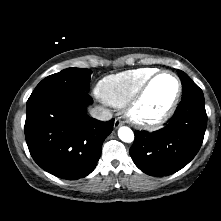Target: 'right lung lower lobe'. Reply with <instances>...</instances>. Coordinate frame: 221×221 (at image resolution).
Here are the masks:
<instances>
[{"label": "right lung lower lobe", "instance_id": "98d812e1", "mask_svg": "<svg viewBox=\"0 0 221 221\" xmlns=\"http://www.w3.org/2000/svg\"><path fill=\"white\" fill-rule=\"evenodd\" d=\"M87 91H61L27 103L25 138L34 161L62 179L90 174L97 165L114 120L98 121L86 114L92 103Z\"/></svg>", "mask_w": 221, "mask_h": 221}]
</instances>
